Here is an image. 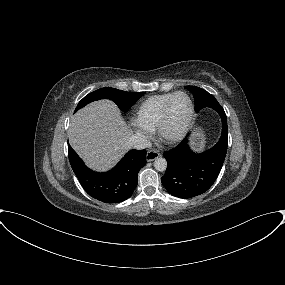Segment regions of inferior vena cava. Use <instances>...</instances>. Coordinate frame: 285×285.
<instances>
[{"label":"inferior vena cava","instance_id":"1","mask_svg":"<svg viewBox=\"0 0 285 285\" xmlns=\"http://www.w3.org/2000/svg\"><path fill=\"white\" fill-rule=\"evenodd\" d=\"M129 146L135 149H145L151 146V142L145 135L137 133L130 137Z\"/></svg>","mask_w":285,"mask_h":285}]
</instances>
